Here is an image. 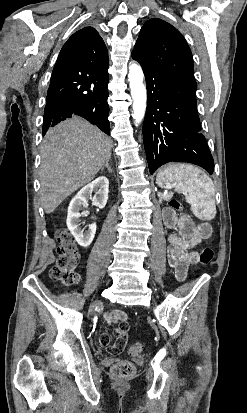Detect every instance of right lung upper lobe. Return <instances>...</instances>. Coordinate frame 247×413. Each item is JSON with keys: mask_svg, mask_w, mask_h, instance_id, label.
Instances as JSON below:
<instances>
[{"mask_svg": "<svg viewBox=\"0 0 247 413\" xmlns=\"http://www.w3.org/2000/svg\"><path fill=\"white\" fill-rule=\"evenodd\" d=\"M108 51L103 39L92 27L74 33L62 47L55 71L91 73L108 68Z\"/></svg>", "mask_w": 247, "mask_h": 413, "instance_id": "right-lung-upper-lobe-1", "label": "right lung upper lobe"}]
</instances>
